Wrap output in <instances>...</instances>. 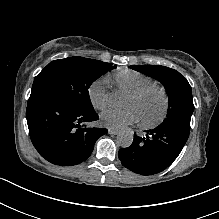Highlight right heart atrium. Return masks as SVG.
Instances as JSON below:
<instances>
[{
    "label": "right heart atrium",
    "mask_w": 219,
    "mask_h": 219,
    "mask_svg": "<svg viewBox=\"0 0 219 219\" xmlns=\"http://www.w3.org/2000/svg\"><path fill=\"white\" fill-rule=\"evenodd\" d=\"M87 95L94 108L100 110L106 108L109 104L107 81L105 79H97L91 82L87 88Z\"/></svg>",
    "instance_id": "obj_1"
}]
</instances>
